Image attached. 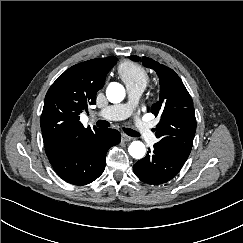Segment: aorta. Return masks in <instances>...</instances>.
<instances>
[{
	"mask_svg": "<svg viewBox=\"0 0 243 243\" xmlns=\"http://www.w3.org/2000/svg\"><path fill=\"white\" fill-rule=\"evenodd\" d=\"M106 96L111 103H119L125 97V89L120 83H110L106 89ZM128 152L134 159H141L145 156L146 148L141 141H133L128 147Z\"/></svg>",
	"mask_w": 243,
	"mask_h": 243,
	"instance_id": "1",
	"label": "aorta"
}]
</instances>
